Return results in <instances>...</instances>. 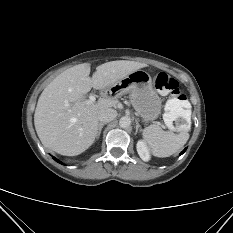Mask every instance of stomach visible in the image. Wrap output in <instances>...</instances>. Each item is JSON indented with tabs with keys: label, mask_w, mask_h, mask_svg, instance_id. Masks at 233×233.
I'll list each match as a JSON object with an SVG mask.
<instances>
[{
	"label": "stomach",
	"mask_w": 233,
	"mask_h": 233,
	"mask_svg": "<svg viewBox=\"0 0 233 233\" xmlns=\"http://www.w3.org/2000/svg\"><path fill=\"white\" fill-rule=\"evenodd\" d=\"M110 89L115 93H130V101L143 123L156 120L161 113V99L153 86V80L144 70H135L118 80Z\"/></svg>",
	"instance_id": "0dacf381"
}]
</instances>
